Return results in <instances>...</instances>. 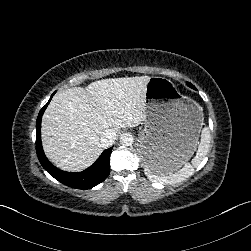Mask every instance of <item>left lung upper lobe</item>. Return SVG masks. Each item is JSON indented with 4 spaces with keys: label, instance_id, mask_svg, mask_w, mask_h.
<instances>
[{
    "label": "left lung upper lobe",
    "instance_id": "obj_1",
    "mask_svg": "<svg viewBox=\"0 0 251 251\" xmlns=\"http://www.w3.org/2000/svg\"><path fill=\"white\" fill-rule=\"evenodd\" d=\"M187 85L196 90V88L191 83H187Z\"/></svg>",
    "mask_w": 251,
    "mask_h": 251
}]
</instances>
